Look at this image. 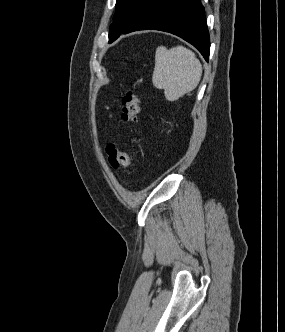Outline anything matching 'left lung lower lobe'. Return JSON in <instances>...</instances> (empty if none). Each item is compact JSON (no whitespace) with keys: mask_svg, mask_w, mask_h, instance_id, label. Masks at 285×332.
Instances as JSON below:
<instances>
[{"mask_svg":"<svg viewBox=\"0 0 285 332\" xmlns=\"http://www.w3.org/2000/svg\"><path fill=\"white\" fill-rule=\"evenodd\" d=\"M146 29L165 31L181 37L196 47L208 61L209 33L204 7L199 0H152L120 34Z\"/></svg>","mask_w":285,"mask_h":332,"instance_id":"left-lung-lower-lobe-1","label":"left lung lower lobe"}]
</instances>
